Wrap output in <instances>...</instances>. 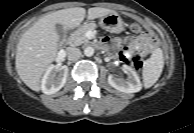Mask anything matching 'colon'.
Instances as JSON below:
<instances>
[{"mask_svg": "<svg viewBox=\"0 0 194 133\" xmlns=\"http://www.w3.org/2000/svg\"><path fill=\"white\" fill-rule=\"evenodd\" d=\"M130 29L133 32H140L141 27L136 21H131ZM131 64L133 65L137 73H141L143 69V55L140 54V51L134 52L128 58Z\"/></svg>", "mask_w": 194, "mask_h": 133, "instance_id": "1", "label": "colon"}]
</instances>
